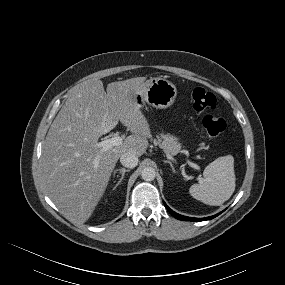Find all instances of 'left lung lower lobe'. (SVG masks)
Wrapping results in <instances>:
<instances>
[{
  "mask_svg": "<svg viewBox=\"0 0 285 285\" xmlns=\"http://www.w3.org/2000/svg\"><path fill=\"white\" fill-rule=\"evenodd\" d=\"M164 205L165 207L167 208V210L169 211V213L171 215H173L175 218L179 219V220H183V221H205V220H210V219H213L215 218L216 216H218L219 214H221L222 212L216 214V215H213V216H209V217H205V218H192V217H187V216H183V215H180V214H177L176 212L172 211L164 202Z\"/></svg>",
  "mask_w": 285,
  "mask_h": 285,
  "instance_id": "0a47b994",
  "label": "left lung lower lobe"
}]
</instances>
